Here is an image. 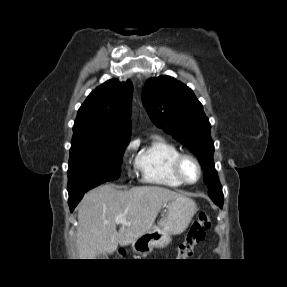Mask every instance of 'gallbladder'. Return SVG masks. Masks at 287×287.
<instances>
[{"mask_svg":"<svg viewBox=\"0 0 287 287\" xmlns=\"http://www.w3.org/2000/svg\"><path fill=\"white\" fill-rule=\"evenodd\" d=\"M104 255L103 254H98L97 259H103Z\"/></svg>","mask_w":287,"mask_h":287,"instance_id":"gallbladder-1","label":"gallbladder"}]
</instances>
